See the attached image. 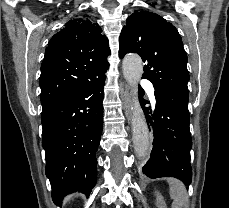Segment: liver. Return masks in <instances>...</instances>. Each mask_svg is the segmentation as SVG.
Here are the masks:
<instances>
[{
  "instance_id": "liver-1",
  "label": "liver",
  "mask_w": 229,
  "mask_h": 208,
  "mask_svg": "<svg viewBox=\"0 0 229 208\" xmlns=\"http://www.w3.org/2000/svg\"><path fill=\"white\" fill-rule=\"evenodd\" d=\"M71 196H67V198H65V202H69Z\"/></svg>"
}]
</instances>
